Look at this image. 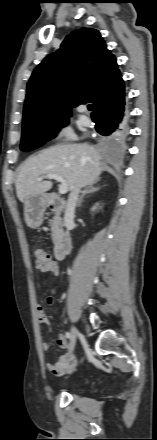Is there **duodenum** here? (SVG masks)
<instances>
[{
    "label": "duodenum",
    "instance_id": "1",
    "mask_svg": "<svg viewBox=\"0 0 157 440\" xmlns=\"http://www.w3.org/2000/svg\"><path fill=\"white\" fill-rule=\"evenodd\" d=\"M66 201L59 196H52L48 199V207L54 211H61L65 208ZM72 237L69 234H61L54 245V255L57 260L63 259L70 251Z\"/></svg>",
    "mask_w": 157,
    "mask_h": 440
}]
</instances>
